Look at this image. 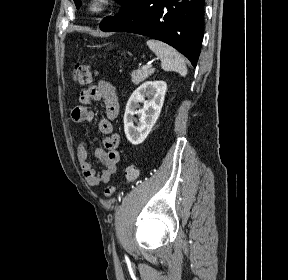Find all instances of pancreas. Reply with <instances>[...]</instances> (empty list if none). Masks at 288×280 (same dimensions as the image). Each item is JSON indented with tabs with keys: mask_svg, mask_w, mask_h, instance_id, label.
<instances>
[{
	"mask_svg": "<svg viewBox=\"0 0 288 280\" xmlns=\"http://www.w3.org/2000/svg\"><path fill=\"white\" fill-rule=\"evenodd\" d=\"M154 72V68L133 71L131 73V81L134 84H139L140 82L144 81L146 78L154 74Z\"/></svg>",
	"mask_w": 288,
	"mask_h": 280,
	"instance_id": "obj_1",
	"label": "pancreas"
}]
</instances>
